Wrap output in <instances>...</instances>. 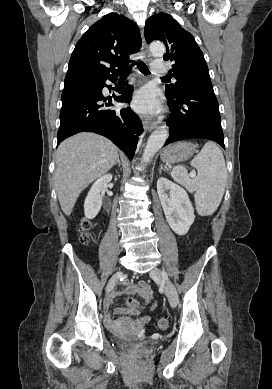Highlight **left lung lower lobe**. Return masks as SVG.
I'll return each instance as SVG.
<instances>
[{
	"mask_svg": "<svg viewBox=\"0 0 272 389\" xmlns=\"http://www.w3.org/2000/svg\"><path fill=\"white\" fill-rule=\"evenodd\" d=\"M167 98L172 113L167 120L170 136L164 146L183 139L204 138L225 148L219 105L212 84L186 86L181 88L179 95Z\"/></svg>",
	"mask_w": 272,
	"mask_h": 389,
	"instance_id": "obj_1",
	"label": "left lung lower lobe"
}]
</instances>
